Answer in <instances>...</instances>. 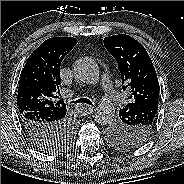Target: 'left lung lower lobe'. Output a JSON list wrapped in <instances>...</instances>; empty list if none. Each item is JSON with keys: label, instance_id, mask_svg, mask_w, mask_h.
<instances>
[{"label": "left lung lower lobe", "instance_id": "1", "mask_svg": "<svg viewBox=\"0 0 184 184\" xmlns=\"http://www.w3.org/2000/svg\"><path fill=\"white\" fill-rule=\"evenodd\" d=\"M153 106H158V101L157 100H153L151 103Z\"/></svg>", "mask_w": 184, "mask_h": 184}]
</instances>
